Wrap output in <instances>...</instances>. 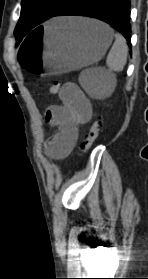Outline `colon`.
I'll return each instance as SVG.
<instances>
[{"label": "colon", "mask_w": 148, "mask_h": 279, "mask_svg": "<svg viewBox=\"0 0 148 279\" xmlns=\"http://www.w3.org/2000/svg\"><path fill=\"white\" fill-rule=\"evenodd\" d=\"M60 92H61L60 83L54 82L50 87V93L59 94ZM100 131H101V119L100 117H96L94 120L91 121L88 132L81 144V149L83 150V152L89 150V148L97 140Z\"/></svg>", "instance_id": "obj_1"}]
</instances>
